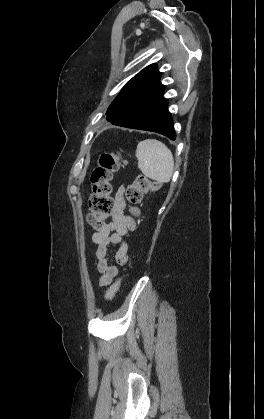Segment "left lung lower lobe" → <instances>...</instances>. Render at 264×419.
<instances>
[{"mask_svg": "<svg viewBox=\"0 0 264 419\" xmlns=\"http://www.w3.org/2000/svg\"><path fill=\"white\" fill-rule=\"evenodd\" d=\"M165 86H149L135 99L125 112L106 117L113 125L157 132L175 140V131L167 100L163 97Z\"/></svg>", "mask_w": 264, "mask_h": 419, "instance_id": "0a47b994", "label": "left lung lower lobe"}]
</instances>
